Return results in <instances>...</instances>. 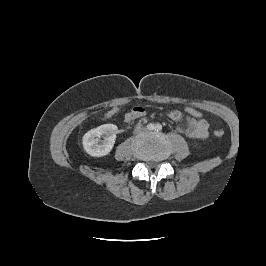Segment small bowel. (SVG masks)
<instances>
[{"instance_id":"small-bowel-1","label":"small bowel","mask_w":266,"mask_h":266,"mask_svg":"<svg viewBox=\"0 0 266 266\" xmlns=\"http://www.w3.org/2000/svg\"><path fill=\"white\" fill-rule=\"evenodd\" d=\"M145 115V110L140 107H134L128 113L127 117L129 120H134ZM169 118L175 121H180L182 119L186 120V123L183 127L180 128V131L185 133L190 138L194 139H203L208 135L209 125L204 119H195L189 116H184L182 112L178 110H169L167 112Z\"/></svg>"}]
</instances>
